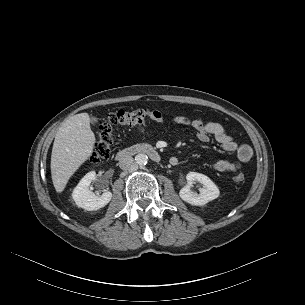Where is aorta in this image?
<instances>
[{
    "label": "aorta",
    "mask_w": 305,
    "mask_h": 305,
    "mask_svg": "<svg viewBox=\"0 0 305 305\" xmlns=\"http://www.w3.org/2000/svg\"><path fill=\"white\" fill-rule=\"evenodd\" d=\"M135 161L139 166L146 165L148 162V156L144 153H139L135 156Z\"/></svg>",
    "instance_id": "1"
}]
</instances>
